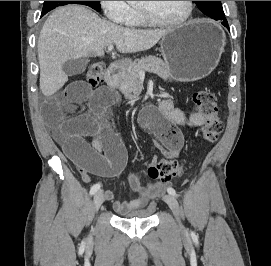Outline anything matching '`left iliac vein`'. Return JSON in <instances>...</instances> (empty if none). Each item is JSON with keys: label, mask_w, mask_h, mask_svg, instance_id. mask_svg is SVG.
<instances>
[{"label": "left iliac vein", "mask_w": 271, "mask_h": 266, "mask_svg": "<svg viewBox=\"0 0 271 266\" xmlns=\"http://www.w3.org/2000/svg\"><path fill=\"white\" fill-rule=\"evenodd\" d=\"M163 199L168 204L170 209L172 210V212L176 218V221L178 223L179 228L183 230L184 227L181 222V209H180L179 203L177 202L175 197L172 195H165Z\"/></svg>", "instance_id": "1"}]
</instances>
